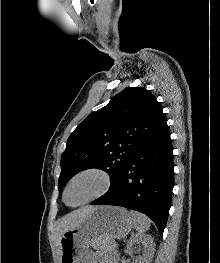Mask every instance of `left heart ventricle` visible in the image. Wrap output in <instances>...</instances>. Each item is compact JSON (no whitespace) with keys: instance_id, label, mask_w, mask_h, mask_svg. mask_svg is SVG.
<instances>
[{"instance_id":"b2bd125f","label":"left heart ventricle","mask_w":220,"mask_h":263,"mask_svg":"<svg viewBox=\"0 0 220 263\" xmlns=\"http://www.w3.org/2000/svg\"><path fill=\"white\" fill-rule=\"evenodd\" d=\"M101 187V180L94 175H85L78 178L69 188L67 202L77 203L96 193Z\"/></svg>"}]
</instances>
